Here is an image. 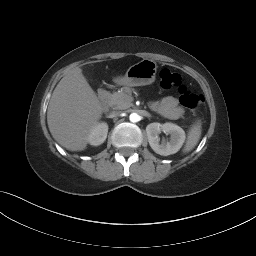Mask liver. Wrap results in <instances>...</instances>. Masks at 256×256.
Here are the masks:
<instances>
[{
    "mask_svg": "<svg viewBox=\"0 0 256 256\" xmlns=\"http://www.w3.org/2000/svg\"><path fill=\"white\" fill-rule=\"evenodd\" d=\"M101 116V103L82 69H71L57 84L48 105L47 123L53 138L67 150L82 151Z\"/></svg>",
    "mask_w": 256,
    "mask_h": 256,
    "instance_id": "liver-1",
    "label": "liver"
}]
</instances>
